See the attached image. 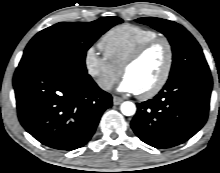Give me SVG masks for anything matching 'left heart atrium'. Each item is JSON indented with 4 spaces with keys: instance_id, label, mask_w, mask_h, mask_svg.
I'll list each match as a JSON object with an SVG mask.
<instances>
[{
    "instance_id": "39dd6f15",
    "label": "left heart atrium",
    "mask_w": 220,
    "mask_h": 173,
    "mask_svg": "<svg viewBox=\"0 0 220 173\" xmlns=\"http://www.w3.org/2000/svg\"><path fill=\"white\" fill-rule=\"evenodd\" d=\"M118 90L120 92H124V93H131V94L138 93V90H137L136 86L127 77H124L122 79V81L120 82V84L118 86Z\"/></svg>"
}]
</instances>
